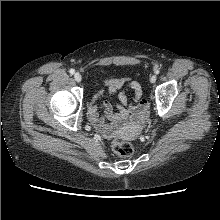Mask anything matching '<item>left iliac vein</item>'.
I'll return each mask as SVG.
<instances>
[{
  "label": "left iliac vein",
  "mask_w": 220,
  "mask_h": 220,
  "mask_svg": "<svg viewBox=\"0 0 220 220\" xmlns=\"http://www.w3.org/2000/svg\"><path fill=\"white\" fill-rule=\"evenodd\" d=\"M151 83H155L156 81V75H152L150 78Z\"/></svg>",
  "instance_id": "4c4485c4"
}]
</instances>
